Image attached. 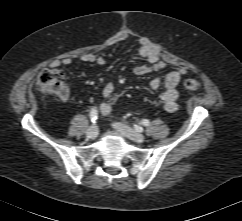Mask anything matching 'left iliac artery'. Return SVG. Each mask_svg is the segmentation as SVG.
<instances>
[{
    "label": "left iliac artery",
    "instance_id": "1",
    "mask_svg": "<svg viewBox=\"0 0 242 221\" xmlns=\"http://www.w3.org/2000/svg\"><path fill=\"white\" fill-rule=\"evenodd\" d=\"M141 124H142L143 126H149V125H150V122H149V120H147V119H143V120L141 121ZM135 128L138 129L139 127H138L137 125H135Z\"/></svg>",
    "mask_w": 242,
    "mask_h": 221
}]
</instances>
